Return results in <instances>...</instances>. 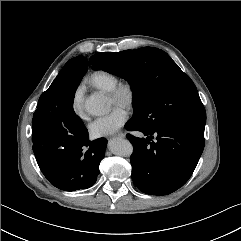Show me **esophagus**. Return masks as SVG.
<instances>
[{"label": "esophagus", "mask_w": 241, "mask_h": 241, "mask_svg": "<svg viewBox=\"0 0 241 241\" xmlns=\"http://www.w3.org/2000/svg\"><path fill=\"white\" fill-rule=\"evenodd\" d=\"M114 137H119V138H123V137H124V134H122V133H119V134L115 135Z\"/></svg>", "instance_id": "34e87169"}]
</instances>
